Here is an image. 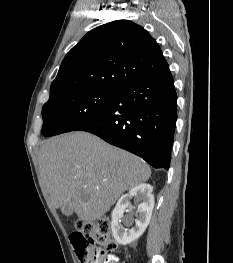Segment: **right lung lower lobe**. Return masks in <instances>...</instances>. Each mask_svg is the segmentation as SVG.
Masks as SVG:
<instances>
[{
    "label": "right lung lower lobe",
    "mask_w": 233,
    "mask_h": 263,
    "mask_svg": "<svg viewBox=\"0 0 233 263\" xmlns=\"http://www.w3.org/2000/svg\"><path fill=\"white\" fill-rule=\"evenodd\" d=\"M176 119L177 95L167 70L117 90L101 114L74 130L91 132L168 170Z\"/></svg>",
    "instance_id": "obj_1"
}]
</instances>
